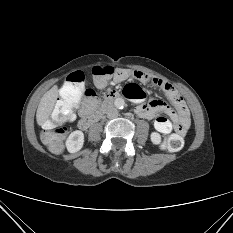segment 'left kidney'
<instances>
[{"label": "left kidney", "mask_w": 233, "mask_h": 233, "mask_svg": "<svg viewBox=\"0 0 233 233\" xmlns=\"http://www.w3.org/2000/svg\"><path fill=\"white\" fill-rule=\"evenodd\" d=\"M150 139H151L152 143L155 145H158L161 143V136L157 132H152L150 135Z\"/></svg>", "instance_id": "left-kidney-1"}]
</instances>
